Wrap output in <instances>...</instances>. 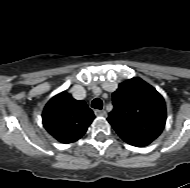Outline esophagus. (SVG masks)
Wrapping results in <instances>:
<instances>
[{"instance_id": "34e87169", "label": "esophagus", "mask_w": 190, "mask_h": 188, "mask_svg": "<svg viewBox=\"0 0 190 188\" xmlns=\"http://www.w3.org/2000/svg\"><path fill=\"white\" fill-rule=\"evenodd\" d=\"M96 116H106V111L105 110H95L94 111Z\"/></svg>"}]
</instances>
